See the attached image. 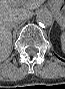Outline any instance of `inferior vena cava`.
Returning <instances> with one entry per match:
<instances>
[{
    "instance_id": "602c4592",
    "label": "inferior vena cava",
    "mask_w": 65,
    "mask_h": 89,
    "mask_svg": "<svg viewBox=\"0 0 65 89\" xmlns=\"http://www.w3.org/2000/svg\"><path fill=\"white\" fill-rule=\"evenodd\" d=\"M26 17H20V18H17L13 21L12 25L15 26L17 25L21 20H24Z\"/></svg>"
}]
</instances>
